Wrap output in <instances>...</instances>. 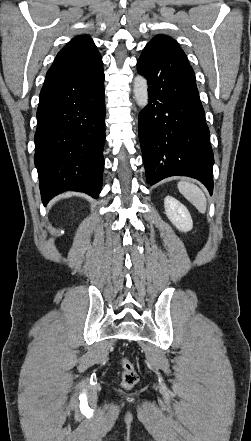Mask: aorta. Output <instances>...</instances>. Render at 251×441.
Segmentation results:
<instances>
[{
  "label": "aorta",
  "instance_id": "1",
  "mask_svg": "<svg viewBox=\"0 0 251 441\" xmlns=\"http://www.w3.org/2000/svg\"><path fill=\"white\" fill-rule=\"evenodd\" d=\"M133 93L137 105L144 108L148 104V85L147 80L141 76L137 75L133 82Z\"/></svg>",
  "mask_w": 251,
  "mask_h": 441
}]
</instances>
